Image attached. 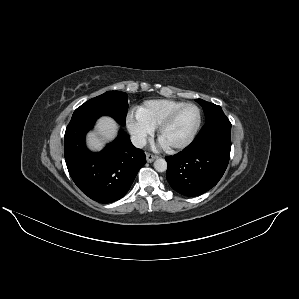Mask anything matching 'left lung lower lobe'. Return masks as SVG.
<instances>
[{
	"label": "left lung lower lobe",
	"instance_id": "left-lung-lower-lobe-1",
	"mask_svg": "<svg viewBox=\"0 0 299 299\" xmlns=\"http://www.w3.org/2000/svg\"><path fill=\"white\" fill-rule=\"evenodd\" d=\"M231 123L212 120L204 125L183 151L165 157L166 178L178 193L194 197L214 187L223 176L230 157Z\"/></svg>",
	"mask_w": 299,
	"mask_h": 299
}]
</instances>
